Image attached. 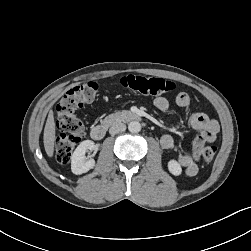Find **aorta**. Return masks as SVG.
Here are the masks:
<instances>
[{
  "instance_id": "1",
  "label": "aorta",
  "mask_w": 251,
  "mask_h": 251,
  "mask_svg": "<svg viewBox=\"0 0 251 251\" xmlns=\"http://www.w3.org/2000/svg\"><path fill=\"white\" fill-rule=\"evenodd\" d=\"M128 130L131 133H139L141 131V124L138 121H131L128 124Z\"/></svg>"
}]
</instances>
